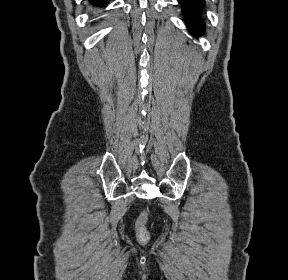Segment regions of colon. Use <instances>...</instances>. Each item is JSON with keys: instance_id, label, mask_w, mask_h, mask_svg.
<instances>
[{"instance_id": "1", "label": "colon", "mask_w": 288, "mask_h": 280, "mask_svg": "<svg viewBox=\"0 0 288 280\" xmlns=\"http://www.w3.org/2000/svg\"><path fill=\"white\" fill-rule=\"evenodd\" d=\"M148 217H149V212L146 210L139 216L137 220L136 232L140 241H146L149 238V233L146 228Z\"/></svg>"}]
</instances>
